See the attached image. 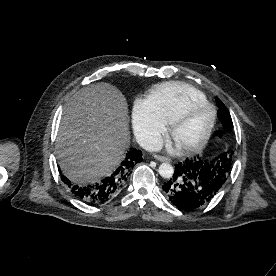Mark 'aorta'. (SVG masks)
<instances>
[{
    "instance_id": "aorta-1",
    "label": "aorta",
    "mask_w": 276,
    "mask_h": 276,
    "mask_svg": "<svg viewBox=\"0 0 276 276\" xmlns=\"http://www.w3.org/2000/svg\"><path fill=\"white\" fill-rule=\"evenodd\" d=\"M158 172H159V174H160L161 177H163L165 179H169L174 174V168L169 163H162L159 166Z\"/></svg>"
}]
</instances>
